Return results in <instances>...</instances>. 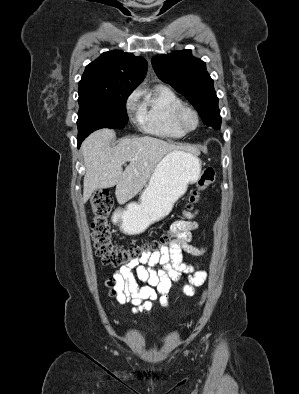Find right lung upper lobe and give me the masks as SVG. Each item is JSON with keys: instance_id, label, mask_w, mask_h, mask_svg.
<instances>
[{"instance_id": "right-lung-upper-lobe-1", "label": "right lung upper lobe", "mask_w": 299, "mask_h": 394, "mask_svg": "<svg viewBox=\"0 0 299 394\" xmlns=\"http://www.w3.org/2000/svg\"><path fill=\"white\" fill-rule=\"evenodd\" d=\"M147 61L131 53L113 50L86 66L79 90H134L144 79Z\"/></svg>"}]
</instances>
